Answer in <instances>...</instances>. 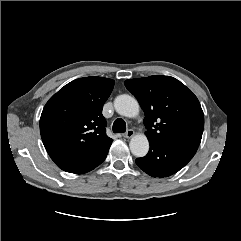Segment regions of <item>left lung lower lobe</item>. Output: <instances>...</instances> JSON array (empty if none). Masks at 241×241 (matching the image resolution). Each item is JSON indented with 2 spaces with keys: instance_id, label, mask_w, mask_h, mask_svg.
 <instances>
[{
  "instance_id": "obj_1",
  "label": "left lung lower lobe",
  "mask_w": 241,
  "mask_h": 241,
  "mask_svg": "<svg viewBox=\"0 0 241 241\" xmlns=\"http://www.w3.org/2000/svg\"><path fill=\"white\" fill-rule=\"evenodd\" d=\"M150 149L136 164L152 177H168L182 169L194 156L198 146L149 138Z\"/></svg>"
}]
</instances>
